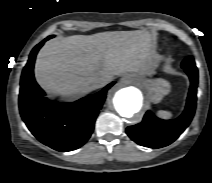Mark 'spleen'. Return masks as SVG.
Instances as JSON below:
<instances>
[{
    "instance_id": "spleen-1",
    "label": "spleen",
    "mask_w": 212,
    "mask_h": 183,
    "mask_svg": "<svg viewBox=\"0 0 212 183\" xmlns=\"http://www.w3.org/2000/svg\"><path fill=\"white\" fill-rule=\"evenodd\" d=\"M157 114L164 119H169L172 116V114L169 111H163V110L158 111Z\"/></svg>"
}]
</instances>
